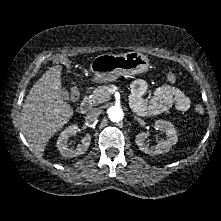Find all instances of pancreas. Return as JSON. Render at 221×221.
Segmentation results:
<instances>
[{
  "instance_id": "obj_1",
  "label": "pancreas",
  "mask_w": 221,
  "mask_h": 221,
  "mask_svg": "<svg viewBox=\"0 0 221 221\" xmlns=\"http://www.w3.org/2000/svg\"><path fill=\"white\" fill-rule=\"evenodd\" d=\"M115 88V85L98 86L94 89L89 101L93 105L106 102L110 99L111 91Z\"/></svg>"
}]
</instances>
